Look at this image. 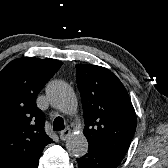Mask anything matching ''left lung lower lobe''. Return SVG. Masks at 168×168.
<instances>
[{
	"label": "left lung lower lobe",
	"mask_w": 168,
	"mask_h": 168,
	"mask_svg": "<svg viewBox=\"0 0 168 168\" xmlns=\"http://www.w3.org/2000/svg\"><path fill=\"white\" fill-rule=\"evenodd\" d=\"M76 160L78 168H116L121 162V159L92 146L88 153Z\"/></svg>",
	"instance_id": "1"
}]
</instances>
